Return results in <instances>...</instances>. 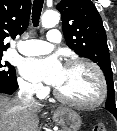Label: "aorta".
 <instances>
[{
	"label": "aorta",
	"instance_id": "1",
	"mask_svg": "<svg viewBox=\"0 0 117 131\" xmlns=\"http://www.w3.org/2000/svg\"><path fill=\"white\" fill-rule=\"evenodd\" d=\"M60 15L58 12L53 10L46 11L42 16V26L45 28H52L58 24Z\"/></svg>",
	"mask_w": 117,
	"mask_h": 131
}]
</instances>
